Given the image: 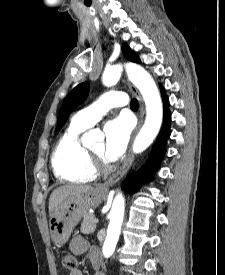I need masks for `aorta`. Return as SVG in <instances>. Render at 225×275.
Returning <instances> with one entry per match:
<instances>
[{"instance_id": "762f6f07", "label": "aorta", "mask_w": 225, "mask_h": 275, "mask_svg": "<svg viewBox=\"0 0 225 275\" xmlns=\"http://www.w3.org/2000/svg\"><path fill=\"white\" fill-rule=\"evenodd\" d=\"M124 67L128 79L139 89L146 106L144 125L137 134L132 146L133 152L138 154L146 150L158 135L163 120V107L160 93L152 76L137 64L128 63ZM121 72V65L105 69L102 76L103 84L108 87L115 85L121 77ZM82 141L83 145H90L93 142L92 133L84 134ZM124 210L125 199L121 193H118L113 200L108 215L109 225L102 249L103 255L106 258L110 257L115 251L124 218Z\"/></svg>"}]
</instances>
